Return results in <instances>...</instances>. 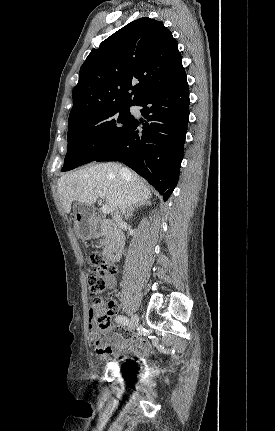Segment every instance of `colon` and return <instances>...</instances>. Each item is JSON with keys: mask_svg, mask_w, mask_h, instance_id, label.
I'll list each match as a JSON object with an SVG mask.
<instances>
[{"mask_svg": "<svg viewBox=\"0 0 275 431\" xmlns=\"http://www.w3.org/2000/svg\"><path fill=\"white\" fill-rule=\"evenodd\" d=\"M116 271L113 263L107 261L99 254L90 257V268L87 274V284L90 295L97 306L95 323L99 330H104L110 323V312L114 306L112 301L105 303L100 294L106 287V280Z\"/></svg>", "mask_w": 275, "mask_h": 431, "instance_id": "1", "label": "colon"}]
</instances>
